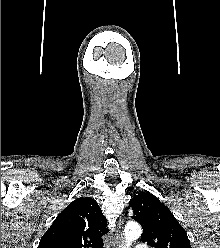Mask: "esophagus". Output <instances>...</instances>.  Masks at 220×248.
<instances>
[{
	"instance_id": "esophagus-1",
	"label": "esophagus",
	"mask_w": 220,
	"mask_h": 248,
	"mask_svg": "<svg viewBox=\"0 0 220 248\" xmlns=\"http://www.w3.org/2000/svg\"><path fill=\"white\" fill-rule=\"evenodd\" d=\"M123 219L120 218L118 221V226H117V230H116V234H115V240L112 244L111 248H123L124 245V237H123Z\"/></svg>"
}]
</instances>
